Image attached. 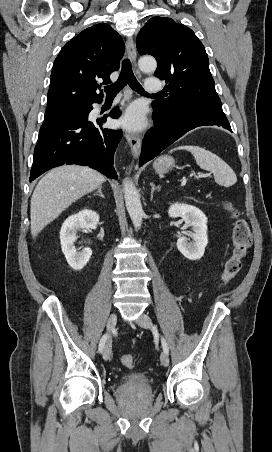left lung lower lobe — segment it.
I'll return each instance as SVG.
<instances>
[{
  "label": "left lung lower lobe",
  "mask_w": 272,
  "mask_h": 452,
  "mask_svg": "<svg viewBox=\"0 0 272 452\" xmlns=\"http://www.w3.org/2000/svg\"><path fill=\"white\" fill-rule=\"evenodd\" d=\"M154 108L153 119L155 125L150 129L142 143L139 166L157 156L186 132L207 125L221 126L231 131L230 124L220 109L206 110L196 107L181 113L169 114Z\"/></svg>",
  "instance_id": "0a47b994"
}]
</instances>
